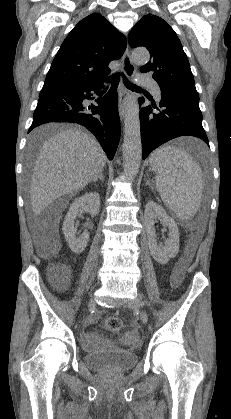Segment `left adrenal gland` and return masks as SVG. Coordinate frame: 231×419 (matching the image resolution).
I'll return each mask as SVG.
<instances>
[{
    "label": "left adrenal gland",
    "mask_w": 231,
    "mask_h": 419,
    "mask_svg": "<svg viewBox=\"0 0 231 419\" xmlns=\"http://www.w3.org/2000/svg\"><path fill=\"white\" fill-rule=\"evenodd\" d=\"M146 185H148L149 187H151V188L153 189V187H152V185L150 184V181H149V180L146 182Z\"/></svg>",
    "instance_id": "left-adrenal-gland-1"
}]
</instances>
